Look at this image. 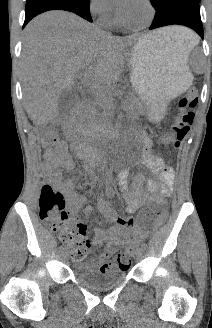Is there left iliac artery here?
Wrapping results in <instances>:
<instances>
[{"instance_id": "1", "label": "left iliac artery", "mask_w": 212, "mask_h": 328, "mask_svg": "<svg viewBox=\"0 0 212 328\" xmlns=\"http://www.w3.org/2000/svg\"><path fill=\"white\" fill-rule=\"evenodd\" d=\"M141 247L144 248V249H146L147 248V244L143 242V243H141Z\"/></svg>"}]
</instances>
